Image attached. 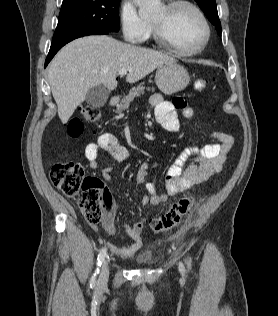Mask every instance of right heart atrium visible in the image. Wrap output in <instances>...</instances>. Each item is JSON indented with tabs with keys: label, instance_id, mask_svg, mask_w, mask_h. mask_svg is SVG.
I'll return each mask as SVG.
<instances>
[{
	"label": "right heart atrium",
	"instance_id": "1",
	"mask_svg": "<svg viewBox=\"0 0 278 316\" xmlns=\"http://www.w3.org/2000/svg\"><path fill=\"white\" fill-rule=\"evenodd\" d=\"M119 23L123 38L130 43H140L146 39L149 23L137 12L131 0H122L119 8Z\"/></svg>",
	"mask_w": 278,
	"mask_h": 316
}]
</instances>
